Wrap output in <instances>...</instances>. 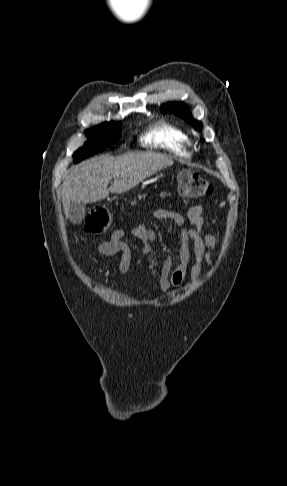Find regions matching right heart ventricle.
<instances>
[{"mask_svg":"<svg viewBox=\"0 0 287 486\" xmlns=\"http://www.w3.org/2000/svg\"><path fill=\"white\" fill-rule=\"evenodd\" d=\"M141 140L146 145L164 149L179 156L189 154L188 135L183 129L170 123H157L145 133Z\"/></svg>","mask_w":287,"mask_h":486,"instance_id":"right-heart-ventricle-1","label":"right heart ventricle"}]
</instances>
